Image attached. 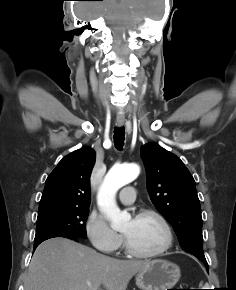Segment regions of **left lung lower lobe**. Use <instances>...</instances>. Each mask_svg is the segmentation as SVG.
I'll use <instances>...</instances> for the list:
<instances>
[{"instance_id":"left-lung-lower-lobe-1","label":"left lung lower lobe","mask_w":236,"mask_h":290,"mask_svg":"<svg viewBox=\"0 0 236 290\" xmlns=\"http://www.w3.org/2000/svg\"><path fill=\"white\" fill-rule=\"evenodd\" d=\"M201 262H202V261H201ZM205 266H206V268H207V270H208V265L205 264Z\"/></svg>"}]
</instances>
